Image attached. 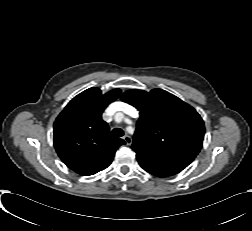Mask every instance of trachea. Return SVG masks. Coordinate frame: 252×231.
Wrapping results in <instances>:
<instances>
[{"instance_id":"3493384b","label":"trachea","mask_w":252,"mask_h":231,"mask_svg":"<svg viewBox=\"0 0 252 231\" xmlns=\"http://www.w3.org/2000/svg\"><path fill=\"white\" fill-rule=\"evenodd\" d=\"M124 135V131L120 128H114L112 130V136L114 137H122Z\"/></svg>"}]
</instances>
